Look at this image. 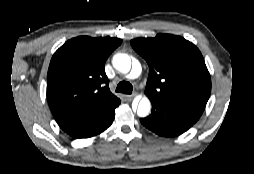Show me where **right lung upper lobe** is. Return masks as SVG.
<instances>
[{"instance_id":"obj_1","label":"right lung upper lobe","mask_w":254,"mask_h":174,"mask_svg":"<svg viewBox=\"0 0 254 174\" xmlns=\"http://www.w3.org/2000/svg\"><path fill=\"white\" fill-rule=\"evenodd\" d=\"M122 40L80 36L53 55L47 74V99L57 123L99 104L120 103L109 90L105 62Z\"/></svg>"}]
</instances>
